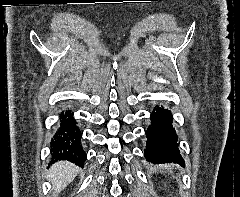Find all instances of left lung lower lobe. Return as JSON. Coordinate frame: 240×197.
I'll list each match as a JSON object with an SVG mask.
<instances>
[{
    "label": "left lung lower lobe",
    "mask_w": 240,
    "mask_h": 197,
    "mask_svg": "<svg viewBox=\"0 0 240 197\" xmlns=\"http://www.w3.org/2000/svg\"><path fill=\"white\" fill-rule=\"evenodd\" d=\"M147 146L145 157L155 164L178 163L183 165L177 144L176 131L172 126V115L169 110L154 108L151 114V125L146 131Z\"/></svg>",
    "instance_id": "obj_1"
}]
</instances>
